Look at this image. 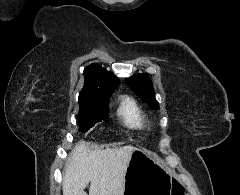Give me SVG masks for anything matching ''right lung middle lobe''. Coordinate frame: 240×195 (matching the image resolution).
I'll list each match as a JSON object with an SVG mask.
<instances>
[{
    "label": "right lung middle lobe",
    "instance_id": "dd1d6c3e",
    "mask_svg": "<svg viewBox=\"0 0 240 195\" xmlns=\"http://www.w3.org/2000/svg\"><path fill=\"white\" fill-rule=\"evenodd\" d=\"M79 102L78 123L81 132H85L108 118V100H83Z\"/></svg>",
    "mask_w": 240,
    "mask_h": 195
}]
</instances>
